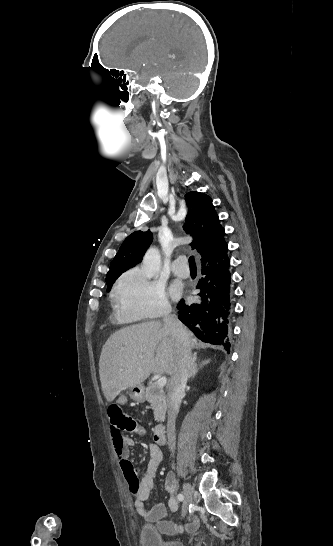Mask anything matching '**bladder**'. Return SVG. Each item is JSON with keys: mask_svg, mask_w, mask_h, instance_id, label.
<instances>
[{"mask_svg": "<svg viewBox=\"0 0 333 546\" xmlns=\"http://www.w3.org/2000/svg\"><path fill=\"white\" fill-rule=\"evenodd\" d=\"M142 546H185L181 539H163L159 527L155 524H145L140 529Z\"/></svg>", "mask_w": 333, "mask_h": 546, "instance_id": "1", "label": "bladder"}]
</instances>
